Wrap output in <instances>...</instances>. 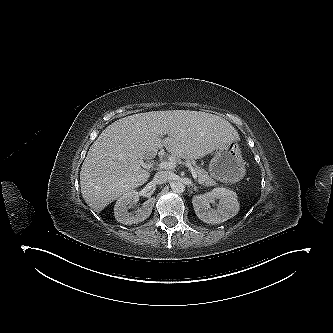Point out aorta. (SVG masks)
I'll use <instances>...</instances> for the list:
<instances>
[{
  "label": "aorta",
  "instance_id": "aorta-1",
  "mask_svg": "<svg viewBox=\"0 0 333 333\" xmlns=\"http://www.w3.org/2000/svg\"><path fill=\"white\" fill-rule=\"evenodd\" d=\"M171 189L175 193H182L185 190V185L180 181H176L172 183Z\"/></svg>",
  "mask_w": 333,
  "mask_h": 333
}]
</instances>
